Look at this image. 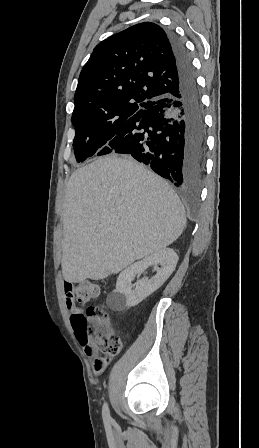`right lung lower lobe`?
I'll use <instances>...</instances> for the list:
<instances>
[{
	"label": "right lung lower lobe",
	"instance_id": "1",
	"mask_svg": "<svg viewBox=\"0 0 259 448\" xmlns=\"http://www.w3.org/2000/svg\"><path fill=\"white\" fill-rule=\"evenodd\" d=\"M178 72L173 93L144 106L108 144L149 165L177 187L198 186L204 173L206 128L196 77L184 44L166 31Z\"/></svg>",
	"mask_w": 259,
	"mask_h": 448
}]
</instances>
